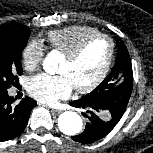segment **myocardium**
Returning <instances> with one entry per match:
<instances>
[{
  "instance_id": "1",
  "label": "myocardium",
  "mask_w": 153,
  "mask_h": 153,
  "mask_svg": "<svg viewBox=\"0 0 153 153\" xmlns=\"http://www.w3.org/2000/svg\"><path fill=\"white\" fill-rule=\"evenodd\" d=\"M97 39H105L108 41L109 54H108L107 60L104 64L101 72L91 83H89L88 85L83 86V87H74V89L78 93H81V94H85V93H89V92L93 91L107 77V75L111 69V66L113 64L114 57H115V42L110 36L103 34V33H98V34L91 35V36L85 38L72 51H70L69 53H67L64 56L69 62H73V61L77 60L80 57V55L83 53V51L86 49V47L90 43H92L93 41H95Z\"/></svg>"
}]
</instances>
